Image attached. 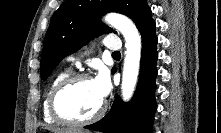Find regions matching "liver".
Instances as JSON below:
<instances>
[{
    "label": "liver",
    "mask_w": 221,
    "mask_h": 133,
    "mask_svg": "<svg viewBox=\"0 0 221 133\" xmlns=\"http://www.w3.org/2000/svg\"><path fill=\"white\" fill-rule=\"evenodd\" d=\"M53 133H89V132H82L81 130L75 129H52Z\"/></svg>",
    "instance_id": "1"
}]
</instances>
